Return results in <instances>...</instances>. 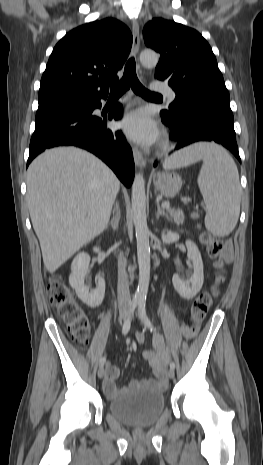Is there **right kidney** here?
Returning a JSON list of instances; mask_svg holds the SVG:
<instances>
[{
	"mask_svg": "<svg viewBox=\"0 0 263 465\" xmlns=\"http://www.w3.org/2000/svg\"><path fill=\"white\" fill-rule=\"evenodd\" d=\"M94 252H99L98 247L93 248ZM90 256L86 252H80L73 259L71 264V274L69 284L75 289L78 297L89 307L99 306L105 294V281L99 278L96 289L89 292V287L85 284V276L89 273Z\"/></svg>",
	"mask_w": 263,
	"mask_h": 465,
	"instance_id": "ca27d5eb",
	"label": "right kidney"
}]
</instances>
